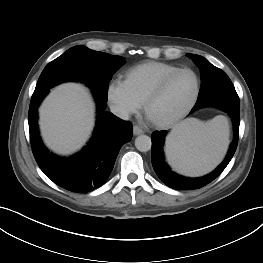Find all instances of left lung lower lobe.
I'll return each instance as SVG.
<instances>
[{
	"instance_id": "1",
	"label": "left lung lower lobe",
	"mask_w": 263,
	"mask_h": 263,
	"mask_svg": "<svg viewBox=\"0 0 263 263\" xmlns=\"http://www.w3.org/2000/svg\"><path fill=\"white\" fill-rule=\"evenodd\" d=\"M205 106H216L229 114L234 125V140L225 160L213 172L200 178H187L171 171L165 162L163 144L167 131H155L151 136L152 165L161 181L170 188L177 190H192L207 185L222 173L236 151L240 124V102L236 91H216L202 98H198L191 112Z\"/></svg>"
}]
</instances>
